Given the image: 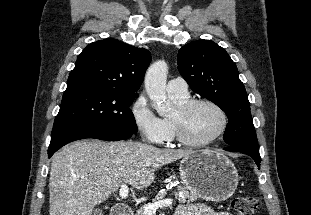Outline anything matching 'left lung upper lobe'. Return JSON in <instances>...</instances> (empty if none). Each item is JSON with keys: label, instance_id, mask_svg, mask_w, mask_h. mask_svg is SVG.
<instances>
[{"label": "left lung upper lobe", "instance_id": "5c2ea615", "mask_svg": "<svg viewBox=\"0 0 311 215\" xmlns=\"http://www.w3.org/2000/svg\"><path fill=\"white\" fill-rule=\"evenodd\" d=\"M178 70L194 92L226 113L224 141L258 150L247 93L228 53L210 40L190 42L178 52Z\"/></svg>", "mask_w": 311, "mask_h": 215}]
</instances>
